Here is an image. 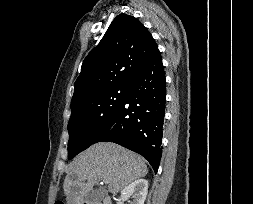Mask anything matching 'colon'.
Listing matches in <instances>:
<instances>
[{"label":"colon","mask_w":253,"mask_h":204,"mask_svg":"<svg viewBox=\"0 0 253 204\" xmlns=\"http://www.w3.org/2000/svg\"><path fill=\"white\" fill-rule=\"evenodd\" d=\"M54 204H65V203L62 200H57V201H55Z\"/></svg>","instance_id":"1"}]
</instances>
